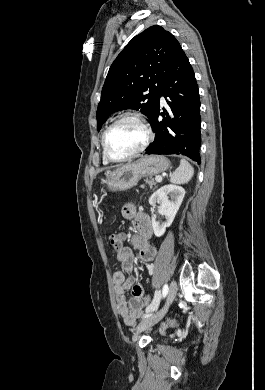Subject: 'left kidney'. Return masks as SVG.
I'll use <instances>...</instances> for the list:
<instances>
[{
    "label": "left kidney",
    "mask_w": 265,
    "mask_h": 390,
    "mask_svg": "<svg viewBox=\"0 0 265 390\" xmlns=\"http://www.w3.org/2000/svg\"><path fill=\"white\" fill-rule=\"evenodd\" d=\"M185 196V189L177 185H165L154 192L149 198L151 206H158L160 215L165 216L166 221L160 225L156 215H152V227L155 236L161 237L167 227H170Z\"/></svg>",
    "instance_id": "1"
}]
</instances>
